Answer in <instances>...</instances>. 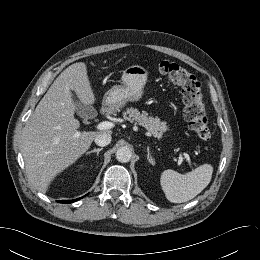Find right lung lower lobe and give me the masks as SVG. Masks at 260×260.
Masks as SVG:
<instances>
[{
    "instance_id": "1",
    "label": "right lung lower lobe",
    "mask_w": 260,
    "mask_h": 260,
    "mask_svg": "<svg viewBox=\"0 0 260 260\" xmlns=\"http://www.w3.org/2000/svg\"><path fill=\"white\" fill-rule=\"evenodd\" d=\"M79 199H81V198H79ZM76 200H78V199H74V200H60L58 202H60V203H72V202H74Z\"/></svg>"
}]
</instances>
